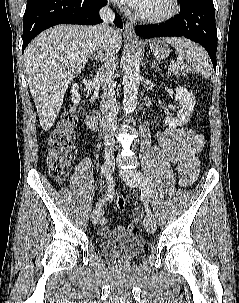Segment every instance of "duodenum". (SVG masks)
<instances>
[{"label": "duodenum", "instance_id": "duodenum-1", "mask_svg": "<svg viewBox=\"0 0 239 303\" xmlns=\"http://www.w3.org/2000/svg\"><path fill=\"white\" fill-rule=\"evenodd\" d=\"M86 125L89 130L96 132L98 129V118L95 113L88 108L85 115Z\"/></svg>", "mask_w": 239, "mask_h": 303}]
</instances>
